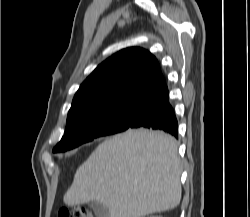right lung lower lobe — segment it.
I'll return each instance as SVG.
<instances>
[{
    "instance_id": "98d812e1",
    "label": "right lung lower lobe",
    "mask_w": 250,
    "mask_h": 217,
    "mask_svg": "<svg viewBox=\"0 0 250 217\" xmlns=\"http://www.w3.org/2000/svg\"><path fill=\"white\" fill-rule=\"evenodd\" d=\"M129 128L161 130L178 138V122L169 103V91L166 85L139 103Z\"/></svg>"
}]
</instances>
